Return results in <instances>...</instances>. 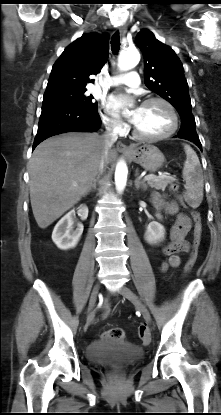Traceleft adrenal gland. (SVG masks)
Listing matches in <instances>:
<instances>
[{"label": "left adrenal gland", "mask_w": 221, "mask_h": 415, "mask_svg": "<svg viewBox=\"0 0 221 415\" xmlns=\"http://www.w3.org/2000/svg\"><path fill=\"white\" fill-rule=\"evenodd\" d=\"M134 185L136 189H139L140 187L143 188V190L147 189V185L145 184V182L141 181L139 178L138 170H136V179L134 180Z\"/></svg>", "instance_id": "1"}]
</instances>
